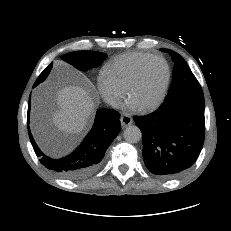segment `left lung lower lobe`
I'll return each mask as SVG.
<instances>
[{"label":"left lung lower lobe","instance_id":"0a47b994","mask_svg":"<svg viewBox=\"0 0 231 231\" xmlns=\"http://www.w3.org/2000/svg\"><path fill=\"white\" fill-rule=\"evenodd\" d=\"M204 94L192 90L171 98L153 113L133 119L142 132L147 169L173 178L198 158L205 137Z\"/></svg>","mask_w":231,"mask_h":231}]
</instances>
